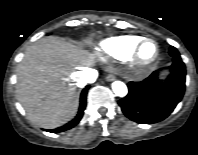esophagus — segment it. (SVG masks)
<instances>
[{
    "instance_id": "1",
    "label": "esophagus",
    "mask_w": 198,
    "mask_h": 155,
    "mask_svg": "<svg viewBox=\"0 0 198 155\" xmlns=\"http://www.w3.org/2000/svg\"><path fill=\"white\" fill-rule=\"evenodd\" d=\"M114 80V76L113 75H109L108 76V81H113Z\"/></svg>"
}]
</instances>
